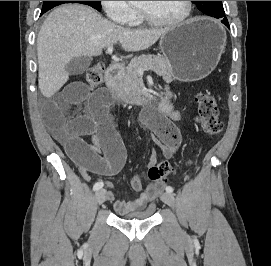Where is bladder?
Wrapping results in <instances>:
<instances>
[{
	"label": "bladder",
	"mask_w": 271,
	"mask_h": 266,
	"mask_svg": "<svg viewBox=\"0 0 271 266\" xmlns=\"http://www.w3.org/2000/svg\"><path fill=\"white\" fill-rule=\"evenodd\" d=\"M118 218L123 219V220H146L150 219L153 216V208H149L148 210L145 211H139L133 214H128V215H116Z\"/></svg>",
	"instance_id": "obj_1"
}]
</instances>
